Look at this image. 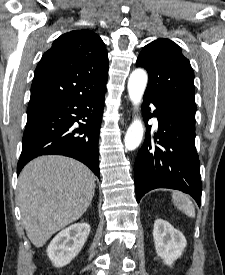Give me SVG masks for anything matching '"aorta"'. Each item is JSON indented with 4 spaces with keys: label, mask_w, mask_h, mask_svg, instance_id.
<instances>
[{
    "label": "aorta",
    "mask_w": 225,
    "mask_h": 275,
    "mask_svg": "<svg viewBox=\"0 0 225 275\" xmlns=\"http://www.w3.org/2000/svg\"><path fill=\"white\" fill-rule=\"evenodd\" d=\"M148 75L143 69H135L128 79V93L131 102L135 107L140 104L144 91L147 86ZM144 128L141 120L135 118L129 126L125 138L124 144L127 150H135L142 141Z\"/></svg>",
    "instance_id": "obj_1"
}]
</instances>
